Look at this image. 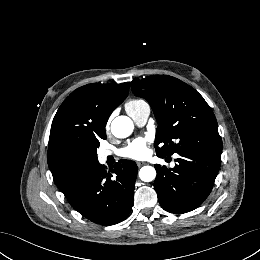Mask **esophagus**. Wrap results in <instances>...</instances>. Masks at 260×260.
Segmentation results:
<instances>
[{
    "instance_id": "34e87169",
    "label": "esophagus",
    "mask_w": 260,
    "mask_h": 260,
    "mask_svg": "<svg viewBox=\"0 0 260 260\" xmlns=\"http://www.w3.org/2000/svg\"><path fill=\"white\" fill-rule=\"evenodd\" d=\"M137 163V166L138 167H141V166H143L144 164H146L145 162H136Z\"/></svg>"
}]
</instances>
